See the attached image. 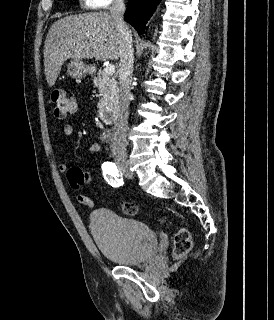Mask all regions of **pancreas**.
<instances>
[{
  "instance_id": "1",
  "label": "pancreas",
  "mask_w": 274,
  "mask_h": 320,
  "mask_svg": "<svg viewBox=\"0 0 274 320\" xmlns=\"http://www.w3.org/2000/svg\"><path fill=\"white\" fill-rule=\"evenodd\" d=\"M94 84L98 86L101 94V100L97 104L99 110H112V108L118 106L119 90L115 78H112L109 74H100V76L94 78Z\"/></svg>"
}]
</instances>
